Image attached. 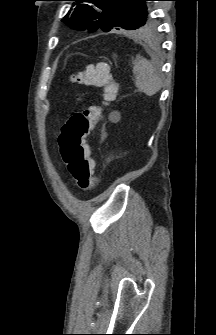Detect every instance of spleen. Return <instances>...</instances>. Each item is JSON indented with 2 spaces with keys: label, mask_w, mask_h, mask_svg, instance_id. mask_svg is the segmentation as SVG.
<instances>
[{
  "label": "spleen",
  "mask_w": 216,
  "mask_h": 335,
  "mask_svg": "<svg viewBox=\"0 0 216 335\" xmlns=\"http://www.w3.org/2000/svg\"><path fill=\"white\" fill-rule=\"evenodd\" d=\"M133 65V75L137 89L147 96L155 95L161 89L162 81L151 62L137 56Z\"/></svg>",
  "instance_id": "spleen-1"
}]
</instances>
